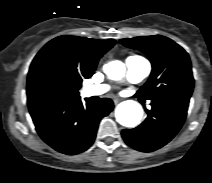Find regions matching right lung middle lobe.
I'll list each match as a JSON object with an SVG mask.
<instances>
[{
  "label": "right lung middle lobe",
  "mask_w": 212,
  "mask_h": 183,
  "mask_svg": "<svg viewBox=\"0 0 212 183\" xmlns=\"http://www.w3.org/2000/svg\"><path fill=\"white\" fill-rule=\"evenodd\" d=\"M76 86L56 72L45 73L39 80L40 90L49 97L64 96L70 98L71 91Z\"/></svg>",
  "instance_id": "dd1d6c3e"
}]
</instances>
